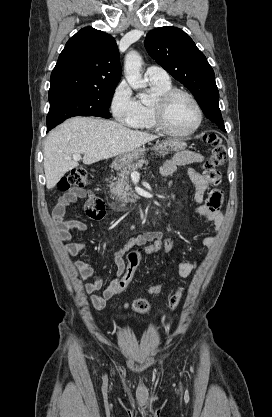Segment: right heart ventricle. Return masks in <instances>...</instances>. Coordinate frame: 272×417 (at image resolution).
I'll return each mask as SVG.
<instances>
[{
  "label": "right heart ventricle",
  "mask_w": 272,
  "mask_h": 417,
  "mask_svg": "<svg viewBox=\"0 0 272 417\" xmlns=\"http://www.w3.org/2000/svg\"><path fill=\"white\" fill-rule=\"evenodd\" d=\"M151 91L155 97L172 89L170 82L166 84H159L150 82ZM130 127L138 130L156 131V127L152 116V104L139 102V115L137 119L130 125Z\"/></svg>",
  "instance_id": "1"
}]
</instances>
